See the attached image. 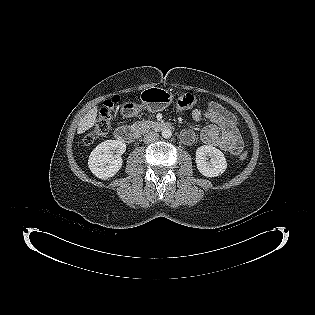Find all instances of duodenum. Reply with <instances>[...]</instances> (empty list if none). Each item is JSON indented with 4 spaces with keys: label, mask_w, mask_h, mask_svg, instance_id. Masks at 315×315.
Returning <instances> with one entry per match:
<instances>
[{
    "label": "duodenum",
    "mask_w": 315,
    "mask_h": 315,
    "mask_svg": "<svg viewBox=\"0 0 315 315\" xmlns=\"http://www.w3.org/2000/svg\"><path fill=\"white\" fill-rule=\"evenodd\" d=\"M170 128L171 124L164 121H152L145 124V129L147 130L160 131ZM138 135V130L129 126H120L115 131L116 139L126 143L134 142L137 139Z\"/></svg>",
    "instance_id": "1"
}]
</instances>
